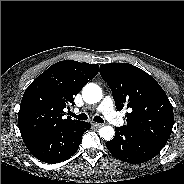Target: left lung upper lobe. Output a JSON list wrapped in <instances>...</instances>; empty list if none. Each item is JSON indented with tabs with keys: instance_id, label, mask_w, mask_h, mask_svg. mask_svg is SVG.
Masks as SVG:
<instances>
[{
	"instance_id": "obj_1",
	"label": "left lung upper lobe",
	"mask_w": 184,
	"mask_h": 184,
	"mask_svg": "<svg viewBox=\"0 0 184 184\" xmlns=\"http://www.w3.org/2000/svg\"><path fill=\"white\" fill-rule=\"evenodd\" d=\"M100 74L112 91L116 109L130 110L123 127L163 148L173 128V106L156 80L129 63L101 64Z\"/></svg>"
}]
</instances>
